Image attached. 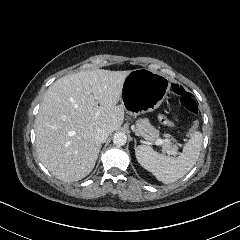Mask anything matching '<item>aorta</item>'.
<instances>
[{
	"instance_id": "762f6f07",
	"label": "aorta",
	"mask_w": 240,
	"mask_h": 240,
	"mask_svg": "<svg viewBox=\"0 0 240 240\" xmlns=\"http://www.w3.org/2000/svg\"><path fill=\"white\" fill-rule=\"evenodd\" d=\"M127 142V136L123 132H117L113 136V143L117 146H123Z\"/></svg>"
}]
</instances>
